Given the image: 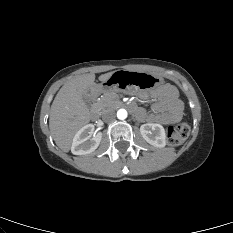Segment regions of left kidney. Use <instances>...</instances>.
<instances>
[{
    "label": "left kidney",
    "mask_w": 233,
    "mask_h": 233,
    "mask_svg": "<svg viewBox=\"0 0 233 233\" xmlns=\"http://www.w3.org/2000/svg\"><path fill=\"white\" fill-rule=\"evenodd\" d=\"M140 133L149 144L162 148L166 145V134L162 125L155 123L143 124Z\"/></svg>",
    "instance_id": "left-kidney-1"
}]
</instances>
